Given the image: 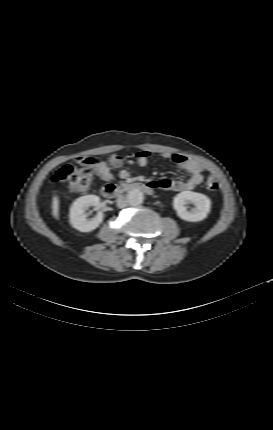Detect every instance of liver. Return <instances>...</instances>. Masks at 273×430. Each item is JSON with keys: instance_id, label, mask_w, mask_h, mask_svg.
<instances>
[{"instance_id": "liver-1", "label": "liver", "mask_w": 273, "mask_h": 430, "mask_svg": "<svg viewBox=\"0 0 273 430\" xmlns=\"http://www.w3.org/2000/svg\"><path fill=\"white\" fill-rule=\"evenodd\" d=\"M52 214L56 219H58V216H59V199H58V196L53 197Z\"/></svg>"}]
</instances>
